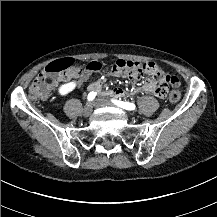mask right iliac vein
I'll use <instances>...</instances> for the list:
<instances>
[{
  "label": "right iliac vein",
  "instance_id": "1",
  "mask_svg": "<svg viewBox=\"0 0 217 217\" xmlns=\"http://www.w3.org/2000/svg\"><path fill=\"white\" fill-rule=\"evenodd\" d=\"M93 106L91 103H87L83 109L84 116H88L92 113Z\"/></svg>",
  "mask_w": 217,
  "mask_h": 217
}]
</instances>
